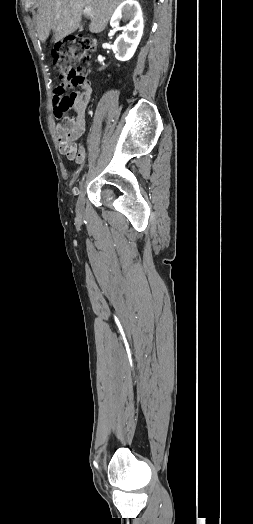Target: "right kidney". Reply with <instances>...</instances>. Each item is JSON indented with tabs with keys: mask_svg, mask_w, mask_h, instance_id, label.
I'll list each match as a JSON object with an SVG mask.
<instances>
[{
	"mask_svg": "<svg viewBox=\"0 0 253 524\" xmlns=\"http://www.w3.org/2000/svg\"><path fill=\"white\" fill-rule=\"evenodd\" d=\"M129 20L126 32H123L114 42L115 57L120 61H127L134 55L143 34V17L139 3L135 0H126L115 10L110 25L119 26V20Z\"/></svg>",
	"mask_w": 253,
	"mask_h": 524,
	"instance_id": "right-kidney-1",
	"label": "right kidney"
}]
</instances>
